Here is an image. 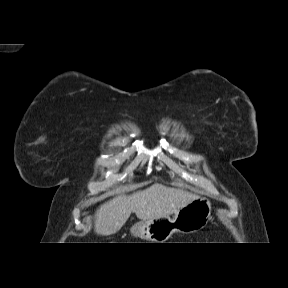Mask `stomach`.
<instances>
[{"mask_svg": "<svg viewBox=\"0 0 288 288\" xmlns=\"http://www.w3.org/2000/svg\"><path fill=\"white\" fill-rule=\"evenodd\" d=\"M211 217V203L205 197H197L180 208L174 216H161L140 221L131 228V234L152 243H164L174 233H194L204 228Z\"/></svg>", "mask_w": 288, "mask_h": 288, "instance_id": "stomach-1", "label": "stomach"}]
</instances>
